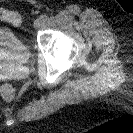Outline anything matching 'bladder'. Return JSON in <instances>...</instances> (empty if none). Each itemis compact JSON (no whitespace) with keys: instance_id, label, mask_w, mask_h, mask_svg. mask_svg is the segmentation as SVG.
I'll use <instances>...</instances> for the list:
<instances>
[{"instance_id":"1","label":"bladder","mask_w":133,"mask_h":133,"mask_svg":"<svg viewBox=\"0 0 133 133\" xmlns=\"http://www.w3.org/2000/svg\"><path fill=\"white\" fill-rule=\"evenodd\" d=\"M31 52L25 42L13 30L0 26V63L24 64Z\"/></svg>"}]
</instances>
